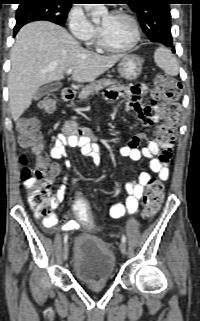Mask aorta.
Returning a JSON list of instances; mask_svg holds the SVG:
<instances>
[{
  "mask_svg": "<svg viewBox=\"0 0 200 321\" xmlns=\"http://www.w3.org/2000/svg\"><path fill=\"white\" fill-rule=\"evenodd\" d=\"M86 9L90 12L93 21L99 20L108 12L104 4H86Z\"/></svg>",
  "mask_w": 200,
  "mask_h": 321,
  "instance_id": "1",
  "label": "aorta"
}]
</instances>
